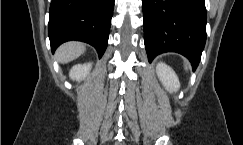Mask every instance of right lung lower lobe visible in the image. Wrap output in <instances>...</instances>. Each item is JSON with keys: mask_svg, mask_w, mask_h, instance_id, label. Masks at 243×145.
<instances>
[{"mask_svg": "<svg viewBox=\"0 0 243 145\" xmlns=\"http://www.w3.org/2000/svg\"><path fill=\"white\" fill-rule=\"evenodd\" d=\"M114 0H52L48 34L52 52L69 40L89 43L99 57L108 43Z\"/></svg>", "mask_w": 243, "mask_h": 145, "instance_id": "right-lung-lower-lobe-1", "label": "right lung lower lobe"}]
</instances>
